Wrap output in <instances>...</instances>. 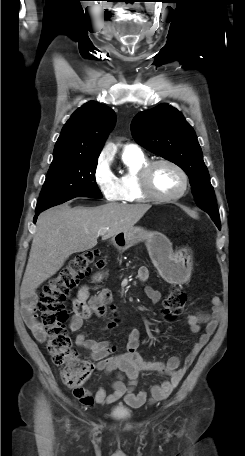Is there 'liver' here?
<instances>
[{
	"label": "liver",
	"instance_id": "obj_1",
	"mask_svg": "<svg viewBox=\"0 0 245 456\" xmlns=\"http://www.w3.org/2000/svg\"><path fill=\"white\" fill-rule=\"evenodd\" d=\"M150 208L149 204L108 203L91 208L63 204L42 212L21 284V298L30 297L71 254L94 248L99 236L107 240L128 231Z\"/></svg>",
	"mask_w": 245,
	"mask_h": 456
}]
</instances>
